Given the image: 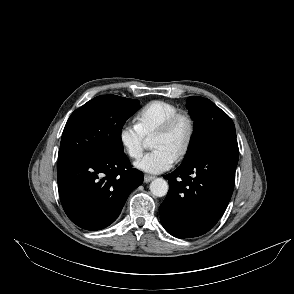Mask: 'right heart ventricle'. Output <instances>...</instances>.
<instances>
[{
	"label": "right heart ventricle",
	"mask_w": 294,
	"mask_h": 294,
	"mask_svg": "<svg viewBox=\"0 0 294 294\" xmlns=\"http://www.w3.org/2000/svg\"><path fill=\"white\" fill-rule=\"evenodd\" d=\"M180 109L169 102L154 100L143 106L136 115V124L145 137H152L160 125Z\"/></svg>",
	"instance_id": "obj_1"
}]
</instances>
